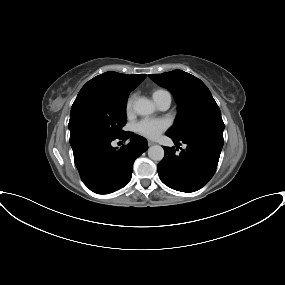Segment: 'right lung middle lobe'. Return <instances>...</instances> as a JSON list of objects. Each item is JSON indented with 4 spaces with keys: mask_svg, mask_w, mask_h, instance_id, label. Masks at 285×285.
Segmentation results:
<instances>
[{
    "mask_svg": "<svg viewBox=\"0 0 285 285\" xmlns=\"http://www.w3.org/2000/svg\"><path fill=\"white\" fill-rule=\"evenodd\" d=\"M126 98L86 93L74 101L69 120L70 144L87 136L118 138L125 133Z\"/></svg>",
    "mask_w": 285,
    "mask_h": 285,
    "instance_id": "obj_1",
    "label": "right lung middle lobe"
}]
</instances>
